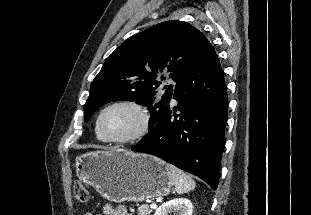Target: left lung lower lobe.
<instances>
[{"mask_svg": "<svg viewBox=\"0 0 311 215\" xmlns=\"http://www.w3.org/2000/svg\"><path fill=\"white\" fill-rule=\"evenodd\" d=\"M227 109L223 70L213 46L205 39L177 81L169 102L132 151L158 156L216 189Z\"/></svg>", "mask_w": 311, "mask_h": 215, "instance_id": "0a47b994", "label": "left lung lower lobe"}]
</instances>
